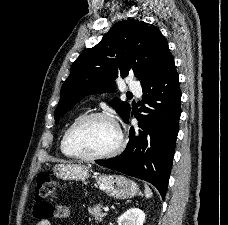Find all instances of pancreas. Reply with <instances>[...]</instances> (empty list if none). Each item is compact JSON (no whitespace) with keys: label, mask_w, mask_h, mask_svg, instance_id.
Masks as SVG:
<instances>
[{"label":"pancreas","mask_w":228,"mask_h":225,"mask_svg":"<svg viewBox=\"0 0 228 225\" xmlns=\"http://www.w3.org/2000/svg\"><path fill=\"white\" fill-rule=\"evenodd\" d=\"M87 211L91 213L96 223H100V221H103V217H106V213H102L101 205H95V207H88Z\"/></svg>","instance_id":"cf45deb5"}]
</instances>
